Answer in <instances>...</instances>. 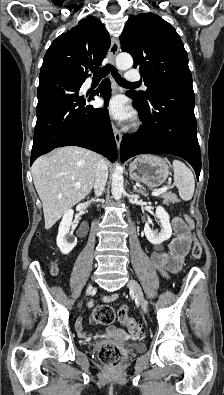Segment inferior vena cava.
I'll return each instance as SVG.
<instances>
[{"mask_svg":"<svg viewBox=\"0 0 224 395\" xmlns=\"http://www.w3.org/2000/svg\"><path fill=\"white\" fill-rule=\"evenodd\" d=\"M107 178H108V166L106 161L100 157L97 163L95 182H94V192L96 197L102 195L105 189Z\"/></svg>","mask_w":224,"mask_h":395,"instance_id":"1","label":"inferior vena cava"}]
</instances>
